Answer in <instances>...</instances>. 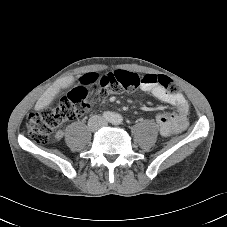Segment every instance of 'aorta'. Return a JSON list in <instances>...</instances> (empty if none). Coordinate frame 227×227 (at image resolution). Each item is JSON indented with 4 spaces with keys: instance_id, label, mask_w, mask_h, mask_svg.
<instances>
[{
    "instance_id": "762f6f07",
    "label": "aorta",
    "mask_w": 227,
    "mask_h": 227,
    "mask_svg": "<svg viewBox=\"0 0 227 227\" xmlns=\"http://www.w3.org/2000/svg\"><path fill=\"white\" fill-rule=\"evenodd\" d=\"M115 117H116V119H115L114 123H116V124L121 123L122 117L119 114H116Z\"/></svg>"
}]
</instances>
